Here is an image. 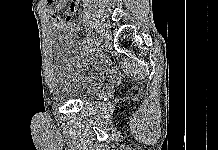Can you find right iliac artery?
<instances>
[{
	"label": "right iliac artery",
	"instance_id": "82829eb1",
	"mask_svg": "<svg viewBox=\"0 0 218 150\" xmlns=\"http://www.w3.org/2000/svg\"><path fill=\"white\" fill-rule=\"evenodd\" d=\"M95 34H96V33H95ZM89 42H96L94 35H91V36H90V39L88 40V43H89ZM96 43H97V42H96Z\"/></svg>",
	"mask_w": 218,
	"mask_h": 150
}]
</instances>
